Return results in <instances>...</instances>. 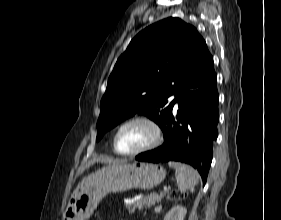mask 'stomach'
I'll return each instance as SVG.
<instances>
[{"label":"stomach","instance_id":"0dacf381","mask_svg":"<svg viewBox=\"0 0 281 220\" xmlns=\"http://www.w3.org/2000/svg\"><path fill=\"white\" fill-rule=\"evenodd\" d=\"M166 177V170L152 163H132L104 167L83 178L73 192L63 220H87L108 193L132 188L151 189Z\"/></svg>","mask_w":281,"mask_h":220}]
</instances>
